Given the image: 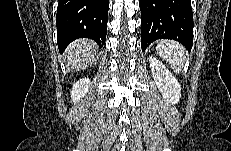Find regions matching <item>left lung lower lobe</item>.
<instances>
[{
    "instance_id": "obj_1",
    "label": "left lung lower lobe",
    "mask_w": 231,
    "mask_h": 151,
    "mask_svg": "<svg viewBox=\"0 0 231 151\" xmlns=\"http://www.w3.org/2000/svg\"><path fill=\"white\" fill-rule=\"evenodd\" d=\"M141 47L157 39H173L189 51L193 45V12L190 0H139Z\"/></svg>"
}]
</instances>
